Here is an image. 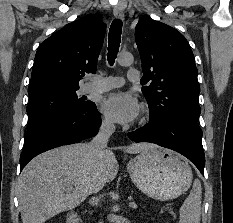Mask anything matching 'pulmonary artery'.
Returning a JSON list of instances; mask_svg holds the SVG:
<instances>
[{
    "label": "pulmonary artery",
    "instance_id": "pulmonary-artery-1",
    "mask_svg": "<svg viewBox=\"0 0 233 223\" xmlns=\"http://www.w3.org/2000/svg\"><path fill=\"white\" fill-rule=\"evenodd\" d=\"M140 70L130 69L128 71V79L130 81H136L139 79ZM93 82L89 84L88 91L90 92H105L112 88L118 87L123 84L124 79L121 77H100L94 76Z\"/></svg>",
    "mask_w": 233,
    "mask_h": 223
}]
</instances>
